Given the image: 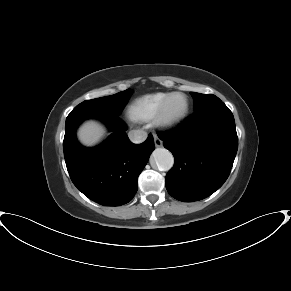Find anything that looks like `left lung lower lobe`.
I'll return each instance as SVG.
<instances>
[{"label": "left lung lower lobe", "mask_w": 291, "mask_h": 291, "mask_svg": "<svg viewBox=\"0 0 291 291\" xmlns=\"http://www.w3.org/2000/svg\"><path fill=\"white\" fill-rule=\"evenodd\" d=\"M158 137L175 158L166 175L167 191L175 199H204L228 178L238 137L233 114L223 102L195 112L181 126Z\"/></svg>", "instance_id": "0a47b994"}]
</instances>
